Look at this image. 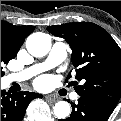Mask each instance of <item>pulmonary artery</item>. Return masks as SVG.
<instances>
[{"label":"pulmonary artery","instance_id":"1","mask_svg":"<svg viewBox=\"0 0 121 121\" xmlns=\"http://www.w3.org/2000/svg\"><path fill=\"white\" fill-rule=\"evenodd\" d=\"M69 50L70 49L65 42L56 41L53 44L48 56L46 57V59L44 61H42L38 64H35L19 73L11 74L8 77V81L9 82L25 81L39 72L47 71L49 69H52V68L60 65L68 57ZM72 98L77 99L78 95L76 93H74L72 95Z\"/></svg>","mask_w":121,"mask_h":121}]
</instances>
